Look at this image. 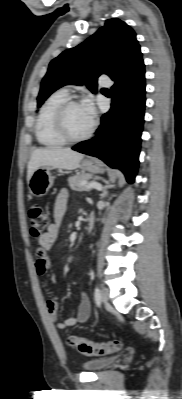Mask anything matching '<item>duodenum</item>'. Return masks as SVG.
<instances>
[{
    "label": "duodenum",
    "mask_w": 182,
    "mask_h": 399,
    "mask_svg": "<svg viewBox=\"0 0 182 399\" xmlns=\"http://www.w3.org/2000/svg\"><path fill=\"white\" fill-rule=\"evenodd\" d=\"M95 224V215L90 213L87 217V230L90 231Z\"/></svg>",
    "instance_id": "obj_1"
}]
</instances>
